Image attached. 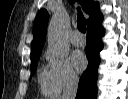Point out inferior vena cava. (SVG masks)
<instances>
[{
  "label": "inferior vena cava",
  "mask_w": 128,
  "mask_h": 99,
  "mask_svg": "<svg viewBox=\"0 0 128 99\" xmlns=\"http://www.w3.org/2000/svg\"><path fill=\"white\" fill-rule=\"evenodd\" d=\"M78 89V78L71 77L63 90L62 99H75Z\"/></svg>",
  "instance_id": "602c4592"
}]
</instances>
